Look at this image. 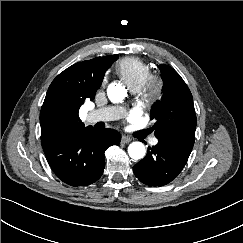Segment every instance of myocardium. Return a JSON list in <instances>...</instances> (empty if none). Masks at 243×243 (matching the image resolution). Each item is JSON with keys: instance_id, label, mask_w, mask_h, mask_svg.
<instances>
[{"instance_id": "obj_1", "label": "myocardium", "mask_w": 243, "mask_h": 243, "mask_svg": "<svg viewBox=\"0 0 243 243\" xmlns=\"http://www.w3.org/2000/svg\"><path fill=\"white\" fill-rule=\"evenodd\" d=\"M163 80L161 77L151 75L141 88V99L145 104H151L161 95Z\"/></svg>"}]
</instances>
